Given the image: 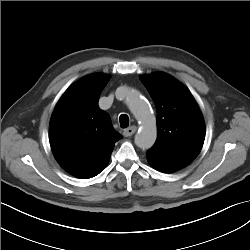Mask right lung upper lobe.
I'll list each match as a JSON object with an SVG mask.
<instances>
[{
	"mask_svg": "<svg viewBox=\"0 0 250 250\" xmlns=\"http://www.w3.org/2000/svg\"><path fill=\"white\" fill-rule=\"evenodd\" d=\"M109 79L105 74L82 78L62 95L51 117L49 139L54 157L78 178H91L102 170L122 138L98 106Z\"/></svg>",
	"mask_w": 250,
	"mask_h": 250,
	"instance_id": "right-lung-upper-lobe-1",
	"label": "right lung upper lobe"
}]
</instances>
